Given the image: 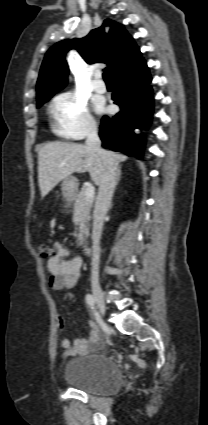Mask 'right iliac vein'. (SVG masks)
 Masks as SVG:
<instances>
[{
	"label": "right iliac vein",
	"instance_id": "right-iliac-vein-1",
	"mask_svg": "<svg viewBox=\"0 0 208 425\" xmlns=\"http://www.w3.org/2000/svg\"><path fill=\"white\" fill-rule=\"evenodd\" d=\"M92 291H93L94 299L97 303V306H98L100 312L102 314H104L105 310H106V304H105L104 293H103L100 285L97 284V283L92 284Z\"/></svg>",
	"mask_w": 208,
	"mask_h": 425
}]
</instances>
